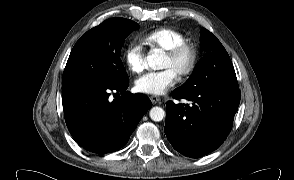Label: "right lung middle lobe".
Here are the masks:
<instances>
[{
	"instance_id": "1",
	"label": "right lung middle lobe",
	"mask_w": 294,
	"mask_h": 180,
	"mask_svg": "<svg viewBox=\"0 0 294 180\" xmlns=\"http://www.w3.org/2000/svg\"><path fill=\"white\" fill-rule=\"evenodd\" d=\"M136 27L138 24L131 20L111 18L86 32L70 53L62 86L82 81L127 82L120 53L125 38Z\"/></svg>"
}]
</instances>
